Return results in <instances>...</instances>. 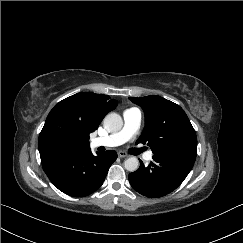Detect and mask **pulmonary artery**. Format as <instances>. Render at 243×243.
Listing matches in <instances>:
<instances>
[{"mask_svg":"<svg viewBox=\"0 0 243 243\" xmlns=\"http://www.w3.org/2000/svg\"><path fill=\"white\" fill-rule=\"evenodd\" d=\"M123 121H124V125L120 131L105 137L94 138L91 140L90 146L92 148H97L100 146L116 147L125 143L132 136H134L140 128L141 125L140 109L136 107H131L126 109L123 112ZM152 156H153L152 151H148L144 155V159L146 161H149L151 160Z\"/></svg>","mask_w":243,"mask_h":243,"instance_id":"e3ab8cb5","label":"pulmonary artery"}]
</instances>
